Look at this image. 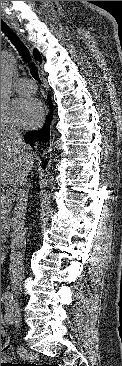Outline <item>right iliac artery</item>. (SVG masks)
I'll list each match as a JSON object with an SVG mask.
<instances>
[{"label": "right iliac artery", "mask_w": 122, "mask_h": 366, "mask_svg": "<svg viewBox=\"0 0 122 366\" xmlns=\"http://www.w3.org/2000/svg\"><path fill=\"white\" fill-rule=\"evenodd\" d=\"M1 301H4L5 303L10 302L11 301V297L5 295V296L1 297Z\"/></svg>", "instance_id": "right-iliac-artery-1"}]
</instances>
